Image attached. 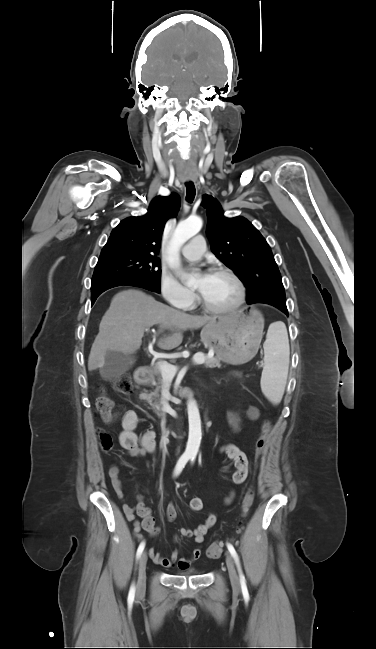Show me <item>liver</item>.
<instances>
[{
	"label": "liver",
	"mask_w": 376,
	"mask_h": 649,
	"mask_svg": "<svg viewBox=\"0 0 376 649\" xmlns=\"http://www.w3.org/2000/svg\"><path fill=\"white\" fill-rule=\"evenodd\" d=\"M216 318L193 316L156 301L140 290L128 289L117 293L103 316L88 358V370L103 367L108 350L134 353L141 345L145 330L159 325L164 330L199 329ZM183 336L176 332L158 341V346L171 350L181 344Z\"/></svg>",
	"instance_id": "obj_1"
}]
</instances>
